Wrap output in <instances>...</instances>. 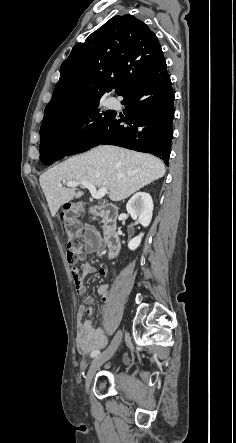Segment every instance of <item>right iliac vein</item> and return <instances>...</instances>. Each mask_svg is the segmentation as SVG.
Returning <instances> with one entry per match:
<instances>
[{
    "mask_svg": "<svg viewBox=\"0 0 236 443\" xmlns=\"http://www.w3.org/2000/svg\"><path fill=\"white\" fill-rule=\"evenodd\" d=\"M122 334H123L122 330L119 329L116 332L109 347L106 350H104L101 354L96 356V358L92 361L90 368L88 370V373L86 375V380H85V389L87 392L89 391L90 384L92 382V379H93L96 371L100 368V366L102 364H104L106 361H108L113 356L115 351L117 350V348L122 340Z\"/></svg>",
    "mask_w": 236,
    "mask_h": 443,
    "instance_id": "63e3f726",
    "label": "right iliac vein"
}]
</instances>
